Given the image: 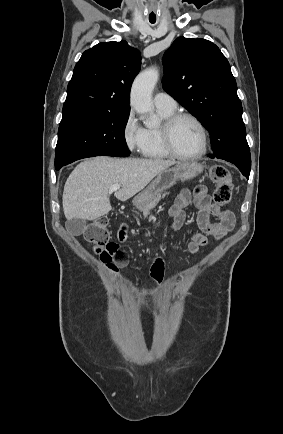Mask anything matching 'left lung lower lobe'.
I'll return each instance as SVG.
<instances>
[{
	"instance_id": "0a47b994",
	"label": "left lung lower lobe",
	"mask_w": 283,
	"mask_h": 434,
	"mask_svg": "<svg viewBox=\"0 0 283 434\" xmlns=\"http://www.w3.org/2000/svg\"><path fill=\"white\" fill-rule=\"evenodd\" d=\"M236 166L239 168L241 173L248 179L251 170V163H237Z\"/></svg>"
}]
</instances>
